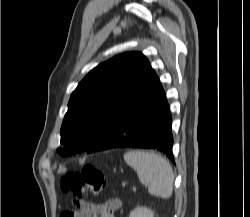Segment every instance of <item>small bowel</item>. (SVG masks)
I'll return each instance as SVG.
<instances>
[{
    "label": "small bowel",
    "mask_w": 250,
    "mask_h": 217,
    "mask_svg": "<svg viewBox=\"0 0 250 217\" xmlns=\"http://www.w3.org/2000/svg\"><path fill=\"white\" fill-rule=\"evenodd\" d=\"M121 206L122 203L119 199L117 198L111 199L106 203H104L103 205H101L99 217H115V212L118 211L121 208ZM69 217H85V216L79 214L78 212H74L70 214Z\"/></svg>",
    "instance_id": "obj_1"
}]
</instances>
